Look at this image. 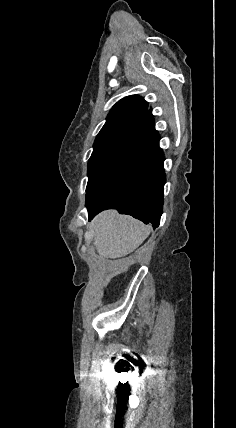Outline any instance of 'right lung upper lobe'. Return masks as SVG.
I'll return each mask as SVG.
<instances>
[{"label": "right lung upper lobe", "mask_w": 236, "mask_h": 428, "mask_svg": "<svg viewBox=\"0 0 236 428\" xmlns=\"http://www.w3.org/2000/svg\"><path fill=\"white\" fill-rule=\"evenodd\" d=\"M151 112L138 95L118 101L95 139L92 154L129 143H145L157 133Z\"/></svg>", "instance_id": "1"}]
</instances>
